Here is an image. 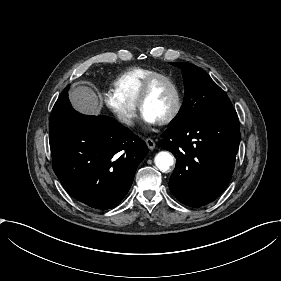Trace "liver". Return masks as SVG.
<instances>
[{
    "label": "liver",
    "mask_w": 281,
    "mask_h": 281,
    "mask_svg": "<svg viewBox=\"0 0 281 281\" xmlns=\"http://www.w3.org/2000/svg\"><path fill=\"white\" fill-rule=\"evenodd\" d=\"M69 98L73 107L81 113L99 115L101 105L97 94L88 86H73L69 91Z\"/></svg>",
    "instance_id": "6515ba94"
}]
</instances>
